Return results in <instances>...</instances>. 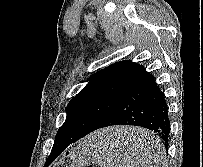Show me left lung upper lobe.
I'll list each match as a JSON object with an SVG mask.
<instances>
[{"mask_svg": "<svg viewBox=\"0 0 203 167\" xmlns=\"http://www.w3.org/2000/svg\"><path fill=\"white\" fill-rule=\"evenodd\" d=\"M143 68L125 60L92 75L89 83L66 107V120L59 128L55 141L63 137L85 136L96 130Z\"/></svg>", "mask_w": 203, "mask_h": 167, "instance_id": "obj_1", "label": "left lung upper lobe"}]
</instances>
